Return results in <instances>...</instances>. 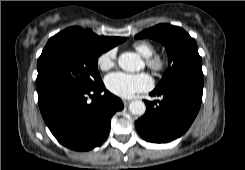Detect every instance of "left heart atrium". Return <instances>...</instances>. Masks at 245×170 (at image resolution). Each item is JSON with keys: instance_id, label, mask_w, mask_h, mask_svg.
<instances>
[{"instance_id": "39dd6f15", "label": "left heart atrium", "mask_w": 245, "mask_h": 170, "mask_svg": "<svg viewBox=\"0 0 245 170\" xmlns=\"http://www.w3.org/2000/svg\"><path fill=\"white\" fill-rule=\"evenodd\" d=\"M105 84L113 94L122 98H130L137 92L150 90L153 86V81L145 73L114 72L106 76Z\"/></svg>"}]
</instances>
